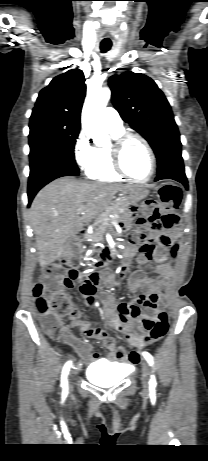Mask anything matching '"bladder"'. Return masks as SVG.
Segmentation results:
<instances>
[{
	"label": "bladder",
	"instance_id": "31cf9c89",
	"mask_svg": "<svg viewBox=\"0 0 208 461\" xmlns=\"http://www.w3.org/2000/svg\"><path fill=\"white\" fill-rule=\"evenodd\" d=\"M127 375L124 366L106 360L95 361L86 370V378L95 385L109 387Z\"/></svg>",
	"mask_w": 208,
	"mask_h": 461
}]
</instances>
